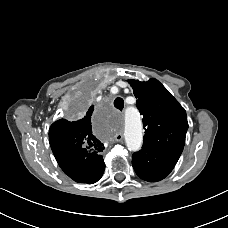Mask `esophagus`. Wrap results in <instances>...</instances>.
<instances>
[{"label": "esophagus", "instance_id": "esophagus-1", "mask_svg": "<svg viewBox=\"0 0 228 228\" xmlns=\"http://www.w3.org/2000/svg\"><path fill=\"white\" fill-rule=\"evenodd\" d=\"M123 138H124V136H123L122 133H118V134L115 135V140H116L117 142L122 141Z\"/></svg>", "mask_w": 228, "mask_h": 228}]
</instances>
